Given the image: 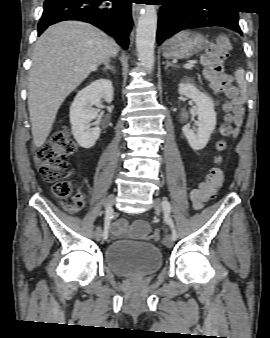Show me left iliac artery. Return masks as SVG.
I'll return each instance as SVG.
<instances>
[{
	"label": "left iliac artery",
	"instance_id": "1",
	"mask_svg": "<svg viewBox=\"0 0 270 338\" xmlns=\"http://www.w3.org/2000/svg\"><path fill=\"white\" fill-rule=\"evenodd\" d=\"M162 207H163V210H164L165 220L169 224V226L171 227V230H172L171 238H172L173 241H176L177 238H178V235H177V232H176V229H175L174 222H173L172 218L170 217L171 205L167 200H163L162 201Z\"/></svg>",
	"mask_w": 270,
	"mask_h": 338
}]
</instances>
